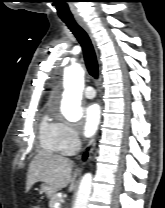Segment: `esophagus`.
<instances>
[{
	"mask_svg": "<svg viewBox=\"0 0 165 208\" xmlns=\"http://www.w3.org/2000/svg\"><path fill=\"white\" fill-rule=\"evenodd\" d=\"M76 21L86 31V33L89 35V37L93 41V35H92V32H91L89 26L87 25V23L84 20H82V19H77ZM94 146H95V140L92 142V148Z\"/></svg>",
	"mask_w": 165,
	"mask_h": 208,
	"instance_id": "34e87169",
	"label": "esophagus"
}]
</instances>
